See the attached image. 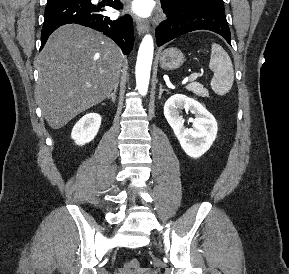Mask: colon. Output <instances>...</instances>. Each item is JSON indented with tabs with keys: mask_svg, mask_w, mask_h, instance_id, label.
<instances>
[{
	"mask_svg": "<svg viewBox=\"0 0 289 274\" xmlns=\"http://www.w3.org/2000/svg\"><path fill=\"white\" fill-rule=\"evenodd\" d=\"M139 268V261L137 259H131L124 265V271L136 270Z\"/></svg>",
	"mask_w": 289,
	"mask_h": 274,
	"instance_id": "1",
	"label": "colon"
}]
</instances>
